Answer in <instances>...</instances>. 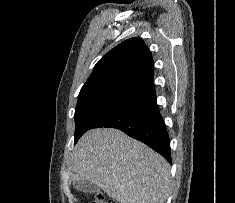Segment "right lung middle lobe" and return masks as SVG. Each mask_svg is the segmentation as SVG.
<instances>
[{"label":"right lung middle lobe","mask_w":235,"mask_h":203,"mask_svg":"<svg viewBox=\"0 0 235 203\" xmlns=\"http://www.w3.org/2000/svg\"><path fill=\"white\" fill-rule=\"evenodd\" d=\"M148 87L130 83L114 82L81 89L75 109L74 144L98 121L129 102L143 96Z\"/></svg>","instance_id":"right-lung-middle-lobe-1"}]
</instances>
